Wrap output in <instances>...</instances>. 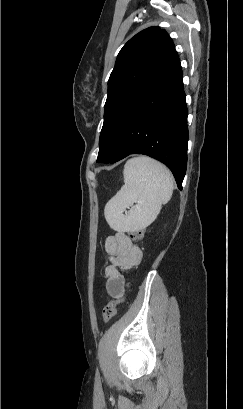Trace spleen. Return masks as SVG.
I'll list each match as a JSON object with an SVG mask.
<instances>
[{
	"label": "spleen",
	"mask_w": 243,
	"mask_h": 409,
	"mask_svg": "<svg viewBox=\"0 0 243 409\" xmlns=\"http://www.w3.org/2000/svg\"><path fill=\"white\" fill-rule=\"evenodd\" d=\"M123 176L124 185L105 205V218L117 231H138L149 226L170 200L173 177L163 164L146 156L129 159Z\"/></svg>",
	"instance_id": "obj_1"
}]
</instances>
